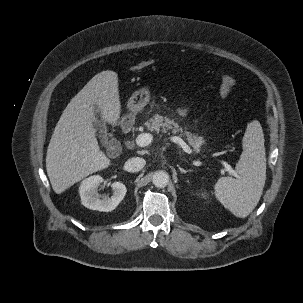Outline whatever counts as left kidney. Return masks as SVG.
I'll return each mask as SVG.
<instances>
[{"label": "left kidney", "mask_w": 303, "mask_h": 303, "mask_svg": "<svg viewBox=\"0 0 303 303\" xmlns=\"http://www.w3.org/2000/svg\"><path fill=\"white\" fill-rule=\"evenodd\" d=\"M199 194H200V193H199ZM201 195H202L203 198H207L206 193H202Z\"/></svg>", "instance_id": "5707ae66"}]
</instances>
